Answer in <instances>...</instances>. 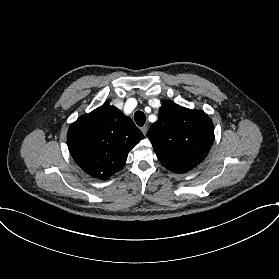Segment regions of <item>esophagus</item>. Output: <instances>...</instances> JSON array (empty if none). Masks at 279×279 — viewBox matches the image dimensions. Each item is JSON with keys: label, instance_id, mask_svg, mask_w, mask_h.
<instances>
[{"label": "esophagus", "instance_id": "esophagus-1", "mask_svg": "<svg viewBox=\"0 0 279 279\" xmlns=\"http://www.w3.org/2000/svg\"><path fill=\"white\" fill-rule=\"evenodd\" d=\"M141 131L144 135H146V133L148 131V125H145V126L141 127Z\"/></svg>", "mask_w": 279, "mask_h": 279}]
</instances>
